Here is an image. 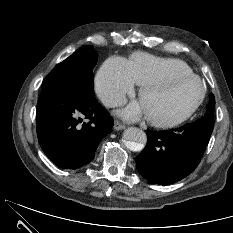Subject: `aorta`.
Returning a JSON list of instances; mask_svg holds the SVG:
<instances>
[{"mask_svg": "<svg viewBox=\"0 0 233 233\" xmlns=\"http://www.w3.org/2000/svg\"><path fill=\"white\" fill-rule=\"evenodd\" d=\"M125 146L134 152L141 151L147 142L146 133L136 127H129L123 133Z\"/></svg>", "mask_w": 233, "mask_h": 233, "instance_id": "obj_1", "label": "aorta"}]
</instances>
